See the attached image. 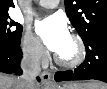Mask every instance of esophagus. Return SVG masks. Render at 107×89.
I'll return each mask as SVG.
<instances>
[{
    "mask_svg": "<svg viewBox=\"0 0 107 89\" xmlns=\"http://www.w3.org/2000/svg\"><path fill=\"white\" fill-rule=\"evenodd\" d=\"M41 81L44 85H51L52 84V73L49 71H43L41 73Z\"/></svg>",
    "mask_w": 107,
    "mask_h": 89,
    "instance_id": "34e87169",
    "label": "esophagus"
}]
</instances>
